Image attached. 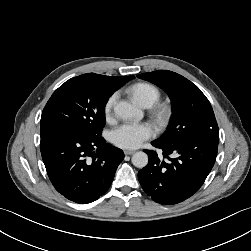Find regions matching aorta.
Segmentation results:
<instances>
[{"label": "aorta", "instance_id": "762f6f07", "mask_svg": "<svg viewBox=\"0 0 251 251\" xmlns=\"http://www.w3.org/2000/svg\"><path fill=\"white\" fill-rule=\"evenodd\" d=\"M114 112L123 119H131L139 115V110L126 101L118 102ZM132 163L137 168H144L148 164V155L142 151L136 152L132 156Z\"/></svg>", "mask_w": 251, "mask_h": 251}]
</instances>
